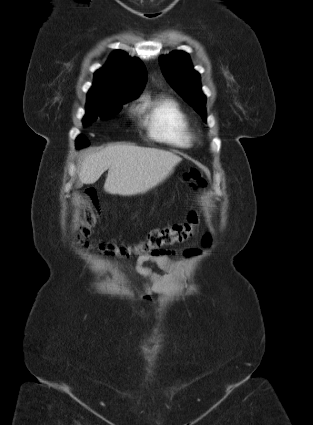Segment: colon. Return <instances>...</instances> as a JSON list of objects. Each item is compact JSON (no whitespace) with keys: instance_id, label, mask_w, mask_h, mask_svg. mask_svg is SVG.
<instances>
[{"instance_id":"1","label":"colon","mask_w":313,"mask_h":425,"mask_svg":"<svg viewBox=\"0 0 313 425\" xmlns=\"http://www.w3.org/2000/svg\"><path fill=\"white\" fill-rule=\"evenodd\" d=\"M184 178L194 187H204L205 182L196 168L185 172ZM87 206L78 221L77 244L84 249H92L88 242L92 227L101 213L96 191L93 188L86 190ZM197 223V215L191 212L184 223L175 224L161 229L150 231L145 240L137 244L102 243L98 246L106 256L131 257L146 254H160L167 247L182 243L190 238ZM207 240V239H206ZM194 251L187 252L192 255Z\"/></svg>"}]
</instances>
